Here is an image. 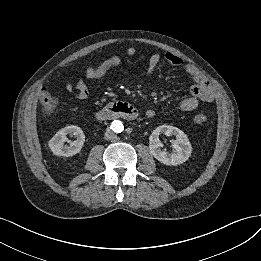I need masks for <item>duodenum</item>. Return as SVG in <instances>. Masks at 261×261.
I'll return each mask as SVG.
<instances>
[{"label": "duodenum", "instance_id": "410a0bca", "mask_svg": "<svg viewBox=\"0 0 261 261\" xmlns=\"http://www.w3.org/2000/svg\"><path fill=\"white\" fill-rule=\"evenodd\" d=\"M137 110L127 102H115L95 113L98 120L135 119Z\"/></svg>", "mask_w": 261, "mask_h": 261}]
</instances>
